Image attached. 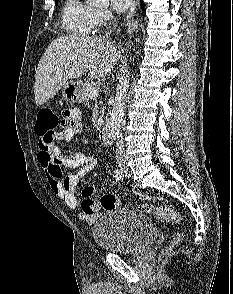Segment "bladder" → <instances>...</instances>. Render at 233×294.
Masks as SVG:
<instances>
[{
    "mask_svg": "<svg viewBox=\"0 0 233 294\" xmlns=\"http://www.w3.org/2000/svg\"><path fill=\"white\" fill-rule=\"evenodd\" d=\"M157 234L153 222L135 208L111 209L92 226L94 241L102 249L132 255L147 248Z\"/></svg>",
    "mask_w": 233,
    "mask_h": 294,
    "instance_id": "31cf9c89",
    "label": "bladder"
}]
</instances>
